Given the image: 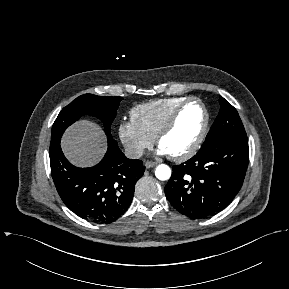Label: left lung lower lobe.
Returning <instances> with one entry per match:
<instances>
[{"instance_id": "1", "label": "left lung lower lobe", "mask_w": 289, "mask_h": 289, "mask_svg": "<svg viewBox=\"0 0 289 289\" xmlns=\"http://www.w3.org/2000/svg\"><path fill=\"white\" fill-rule=\"evenodd\" d=\"M248 160L247 138L218 137L185 163L172 166V176L165 186L166 197L190 218L214 215L239 192Z\"/></svg>"}]
</instances>
